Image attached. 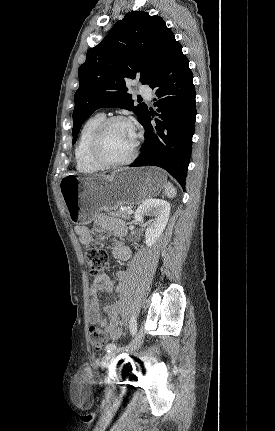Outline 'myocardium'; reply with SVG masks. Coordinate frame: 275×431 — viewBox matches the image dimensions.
I'll return each mask as SVG.
<instances>
[{
    "mask_svg": "<svg viewBox=\"0 0 275 431\" xmlns=\"http://www.w3.org/2000/svg\"><path fill=\"white\" fill-rule=\"evenodd\" d=\"M115 123H126L132 126L130 120L123 116H111V117L105 118L97 126L89 141V147H88L89 157L96 165H98L102 169H116V168L127 166L135 160L138 153L139 142H138V139L135 137L133 150L126 159L118 162H112L107 160L103 156L102 144H103L104 136L108 131V129Z\"/></svg>",
    "mask_w": 275,
    "mask_h": 431,
    "instance_id": "myocardium-1",
    "label": "myocardium"
}]
</instances>
